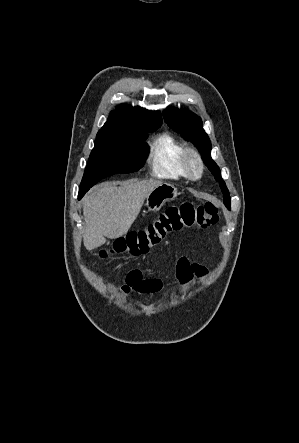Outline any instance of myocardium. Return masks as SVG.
<instances>
[{
	"instance_id": "f54148a6",
	"label": "myocardium",
	"mask_w": 299,
	"mask_h": 443,
	"mask_svg": "<svg viewBox=\"0 0 299 443\" xmlns=\"http://www.w3.org/2000/svg\"><path fill=\"white\" fill-rule=\"evenodd\" d=\"M182 167L185 175L192 179H199L204 171V163L199 152L194 148H186L182 155Z\"/></svg>"
}]
</instances>
